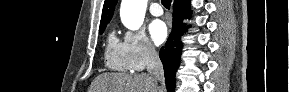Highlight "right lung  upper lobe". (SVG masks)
I'll return each instance as SVG.
<instances>
[{
    "mask_svg": "<svg viewBox=\"0 0 289 92\" xmlns=\"http://www.w3.org/2000/svg\"><path fill=\"white\" fill-rule=\"evenodd\" d=\"M175 1V0H174ZM117 0H105L100 26L107 25L111 20Z\"/></svg>",
    "mask_w": 289,
    "mask_h": 92,
    "instance_id": "cb5924a9",
    "label": "right lung upper lobe"
}]
</instances>
